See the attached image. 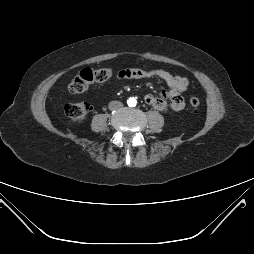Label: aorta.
<instances>
[{
    "label": "aorta",
    "instance_id": "obj_1",
    "mask_svg": "<svg viewBox=\"0 0 254 254\" xmlns=\"http://www.w3.org/2000/svg\"><path fill=\"white\" fill-rule=\"evenodd\" d=\"M127 104L131 107H134L137 104V100L134 97H131L127 100Z\"/></svg>",
    "mask_w": 254,
    "mask_h": 254
}]
</instances>
